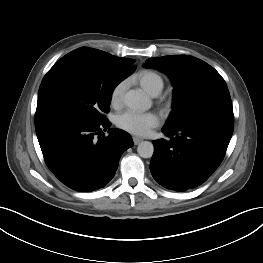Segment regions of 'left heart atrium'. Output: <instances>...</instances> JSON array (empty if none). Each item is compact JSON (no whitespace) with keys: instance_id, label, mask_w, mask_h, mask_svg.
I'll return each mask as SVG.
<instances>
[{"instance_id":"39dd6f15","label":"left heart atrium","mask_w":263,"mask_h":263,"mask_svg":"<svg viewBox=\"0 0 263 263\" xmlns=\"http://www.w3.org/2000/svg\"><path fill=\"white\" fill-rule=\"evenodd\" d=\"M118 128L131 134L145 136L159 124V117L152 112L125 111L115 118Z\"/></svg>"}]
</instances>
